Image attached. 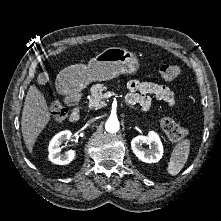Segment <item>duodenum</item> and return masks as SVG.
<instances>
[{
  "mask_svg": "<svg viewBox=\"0 0 221 221\" xmlns=\"http://www.w3.org/2000/svg\"><path fill=\"white\" fill-rule=\"evenodd\" d=\"M60 92L67 98L69 105L72 107L70 114V120L77 122L81 116V100L82 96L80 93L75 92L72 88L64 85L60 87Z\"/></svg>",
  "mask_w": 221,
  "mask_h": 221,
  "instance_id": "1",
  "label": "duodenum"
}]
</instances>
